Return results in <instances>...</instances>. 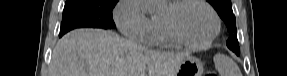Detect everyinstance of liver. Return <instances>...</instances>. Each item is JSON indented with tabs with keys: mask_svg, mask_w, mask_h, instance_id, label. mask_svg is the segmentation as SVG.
<instances>
[{
	"mask_svg": "<svg viewBox=\"0 0 287 76\" xmlns=\"http://www.w3.org/2000/svg\"><path fill=\"white\" fill-rule=\"evenodd\" d=\"M188 56L152 51L112 31L76 29L57 42L49 76H175Z\"/></svg>",
	"mask_w": 287,
	"mask_h": 76,
	"instance_id": "1",
	"label": "liver"
}]
</instances>
